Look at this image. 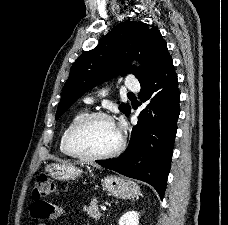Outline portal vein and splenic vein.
<instances>
[{"label": "portal vein and splenic vein", "instance_id": "obj_1", "mask_svg": "<svg viewBox=\"0 0 228 225\" xmlns=\"http://www.w3.org/2000/svg\"><path fill=\"white\" fill-rule=\"evenodd\" d=\"M102 211H106V207H101Z\"/></svg>", "mask_w": 228, "mask_h": 225}]
</instances>
